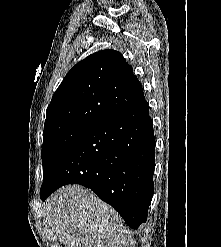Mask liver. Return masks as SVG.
I'll list each match as a JSON object with an SVG mask.
<instances>
[{
    "label": "liver",
    "instance_id": "obj_1",
    "mask_svg": "<svg viewBox=\"0 0 221 247\" xmlns=\"http://www.w3.org/2000/svg\"><path fill=\"white\" fill-rule=\"evenodd\" d=\"M43 215L65 247H134L119 214L82 186L59 189L43 204Z\"/></svg>",
    "mask_w": 221,
    "mask_h": 247
}]
</instances>
